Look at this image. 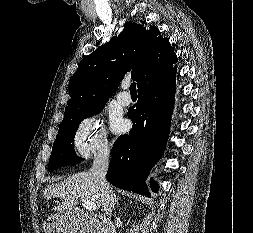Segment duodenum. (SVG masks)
Masks as SVG:
<instances>
[{"mask_svg": "<svg viewBox=\"0 0 253 233\" xmlns=\"http://www.w3.org/2000/svg\"><path fill=\"white\" fill-rule=\"evenodd\" d=\"M86 228L87 233H109L113 230V226L99 215L94 216Z\"/></svg>", "mask_w": 253, "mask_h": 233, "instance_id": "obj_1", "label": "duodenum"}]
</instances>
